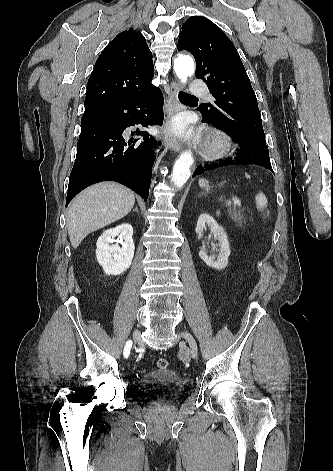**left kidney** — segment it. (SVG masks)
Instances as JSON below:
<instances>
[{
  "mask_svg": "<svg viewBox=\"0 0 333 471\" xmlns=\"http://www.w3.org/2000/svg\"><path fill=\"white\" fill-rule=\"evenodd\" d=\"M209 227L211 232L214 235V238L219 241V250H217L218 255L217 258L215 255H207L205 249L202 248L199 252L200 258L208 265L217 270L224 269L228 264V257L230 255V248H229V241L226 232L224 229L219 226V224L214 220L212 216L209 214L203 213L199 216L197 226H196V233L201 235L203 230L206 227Z\"/></svg>",
  "mask_w": 333,
  "mask_h": 471,
  "instance_id": "5707ae66",
  "label": "left kidney"
}]
</instances>
